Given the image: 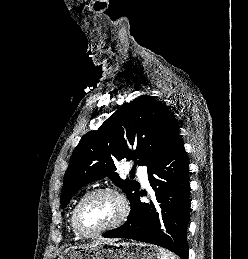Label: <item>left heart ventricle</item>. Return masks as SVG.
Returning <instances> with one entry per match:
<instances>
[{
  "label": "left heart ventricle",
  "instance_id": "obj_1",
  "mask_svg": "<svg viewBox=\"0 0 248 259\" xmlns=\"http://www.w3.org/2000/svg\"><path fill=\"white\" fill-rule=\"evenodd\" d=\"M121 212L119 200L112 194H99L89 199L80 211L82 227L93 232L112 223Z\"/></svg>",
  "mask_w": 248,
  "mask_h": 259
}]
</instances>
